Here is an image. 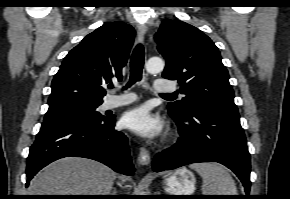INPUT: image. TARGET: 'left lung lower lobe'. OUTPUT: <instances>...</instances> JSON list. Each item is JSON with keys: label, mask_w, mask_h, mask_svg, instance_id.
<instances>
[{"label": "left lung lower lobe", "mask_w": 290, "mask_h": 199, "mask_svg": "<svg viewBox=\"0 0 290 199\" xmlns=\"http://www.w3.org/2000/svg\"><path fill=\"white\" fill-rule=\"evenodd\" d=\"M170 114V113H169ZM181 138L156 155L154 171L175 169L197 162H218L231 169L250 191V154L239 116L226 115L202 106L183 115L170 114Z\"/></svg>", "instance_id": "left-lung-lower-lobe-1"}]
</instances>
